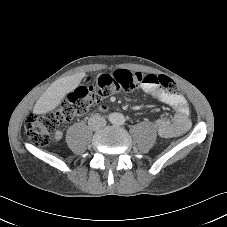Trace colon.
Segmentation results:
<instances>
[{
    "label": "colon",
    "instance_id": "colon-1",
    "mask_svg": "<svg viewBox=\"0 0 227 227\" xmlns=\"http://www.w3.org/2000/svg\"><path fill=\"white\" fill-rule=\"evenodd\" d=\"M145 84H157L171 93H177L178 87L169 77L160 75H143L129 70H116L102 74L90 87L80 86L62 101L60 106L44 114H30L24 124L28 138L38 146H46L52 133L62 123L86 113L89 108L122 91H134Z\"/></svg>",
    "mask_w": 227,
    "mask_h": 227
}]
</instances>
